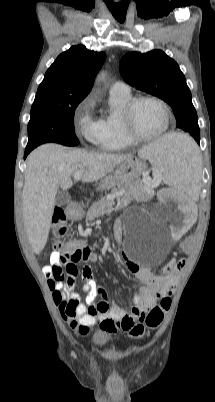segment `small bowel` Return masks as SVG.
<instances>
[{
  "label": "small bowel",
  "mask_w": 215,
  "mask_h": 402,
  "mask_svg": "<svg viewBox=\"0 0 215 402\" xmlns=\"http://www.w3.org/2000/svg\"><path fill=\"white\" fill-rule=\"evenodd\" d=\"M116 233L120 236L119 222L116 224ZM80 251L82 256L77 263L82 262L85 265L82 272L85 284L82 286V290L85 291L86 295L83 301L76 292L78 268L74 271H68L66 276L63 271L56 272L53 269L54 262L61 258L69 259L70 257H64L59 252H53L50 265L43 268L44 276L54 282L56 290L61 295V317L80 335L88 334L91 327L96 324H99L101 329L107 332H115L118 329L130 330L136 321L143 320L145 314L156 305L158 299L169 297L174 291L175 274L165 272L163 275H155L148 269L129 262L130 271L142 282L143 286L134 296L129 308L124 309L110 304L106 291L97 285L89 268V264L97 260V255L85 243H82ZM97 297H100L99 301H96Z\"/></svg>",
  "instance_id": "1"
}]
</instances>
